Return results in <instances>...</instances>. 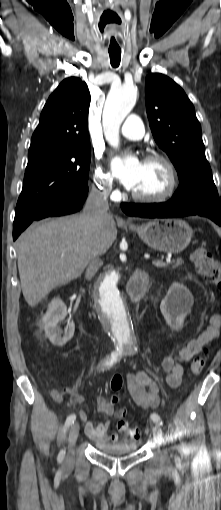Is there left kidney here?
<instances>
[{"label":"left kidney","mask_w":221,"mask_h":510,"mask_svg":"<svg viewBox=\"0 0 221 510\" xmlns=\"http://www.w3.org/2000/svg\"><path fill=\"white\" fill-rule=\"evenodd\" d=\"M193 302L192 294L183 284L174 282L171 285L160 304V310L166 323L173 330H180L183 327L184 319L190 312Z\"/></svg>","instance_id":"5707ae66"}]
</instances>
